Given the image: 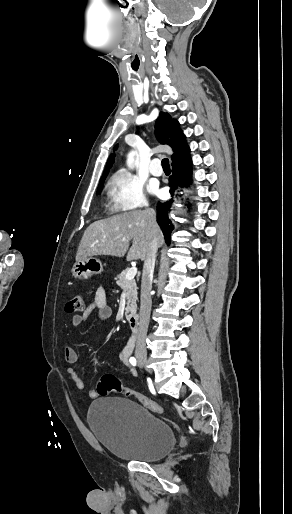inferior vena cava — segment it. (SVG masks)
Segmentation results:
<instances>
[{"label":"inferior vena cava","instance_id":"602c4592","mask_svg":"<svg viewBox=\"0 0 292 514\" xmlns=\"http://www.w3.org/2000/svg\"><path fill=\"white\" fill-rule=\"evenodd\" d=\"M150 218V226L156 224V214L154 210H148ZM157 240H152L149 250L146 254V260L143 266L142 282H141V306H140V322L137 334L135 354L146 352V334L150 320V312L152 300L150 296L153 280V272L157 254Z\"/></svg>","mask_w":292,"mask_h":514}]
</instances>
